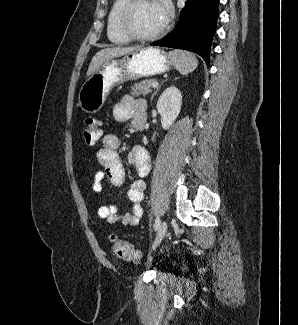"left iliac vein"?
Masks as SVG:
<instances>
[{
	"instance_id": "1",
	"label": "left iliac vein",
	"mask_w": 298,
	"mask_h": 325,
	"mask_svg": "<svg viewBox=\"0 0 298 325\" xmlns=\"http://www.w3.org/2000/svg\"><path fill=\"white\" fill-rule=\"evenodd\" d=\"M167 222L163 221L159 227L157 228V233H156V237L152 246V250H155L159 244L161 243V241L163 240L165 233L167 231Z\"/></svg>"
}]
</instances>
